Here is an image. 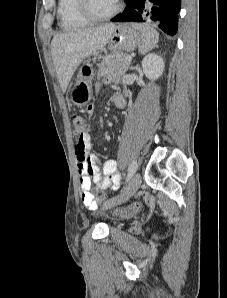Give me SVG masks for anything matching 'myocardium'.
I'll list each match as a JSON object with an SVG mask.
<instances>
[{
  "label": "myocardium",
  "mask_w": 227,
  "mask_h": 298,
  "mask_svg": "<svg viewBox=\"0 0 227 298\" xmlns=\"http://www.w3.org/2000/svg\"><path fill=\"white\" fill-rule=\"evenodd\" d=\"M78 8L80 13L83 17H85L90 22H103L110 20L111 18L115 17L122 9V1L117 0V4L115 8L109 12L106 15H96L91 7H90V1L89 0H78Z\"/></svg>",
  "instance_id": "obj_1"
}]
</instances>
